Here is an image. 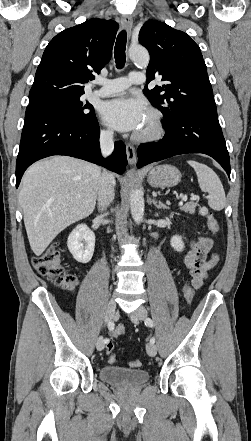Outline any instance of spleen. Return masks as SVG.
Returning a JSON list of instances; mask_svg holds the SVG:
<instances>
[{
  "label": "spleen",
  "instance_id": "3e777b00",
  "mask_svg": "<svg viewBox=\"0 0 251 441\" xmlns=\"http://www.w3.org/2000/svg\"><path fill=\"white\" fill-rule=\"evenodd\" d=\"M187 163L194 168L200 189L208 193V205L216 211L225 207L226 197L223 185L218 175L203 163L189 160Z\"/></svg>",
  "mask_w": 251,
  "mask_h": 441
}]
</instances>
